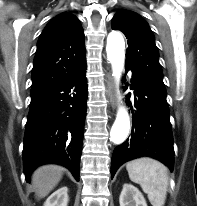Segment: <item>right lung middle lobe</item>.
Returning <instances> with one entry per match:
<instances>
[{"label": "right lung middle lobe", "mask_w": 197, "mask_h": 206, "mask_svg": "<svg viewBox=\"0 0 197 206\" xmlns=\"http://www.w3.org/2000/svg\"><path fill=\"white\" fill-rule=\"evenodd\" d=\"M42 93H31V100L39 97Z\"/></svg>", "instance_id": "obj_1"}]
</instances>
